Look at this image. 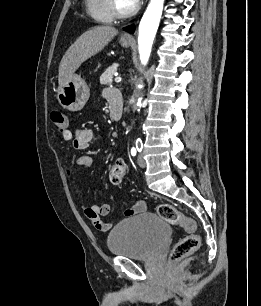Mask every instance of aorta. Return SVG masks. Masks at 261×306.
Returning a JSON list of instances; mask_svg holds the SVG:
<instances>
[{
  "label": "aorta",
  "instance_id": "762f6f07",
  "mask_svg": "<svg viewBox=\"0 0 261 306\" xmlns=\"http://www.w3.org/2000/svg\"><path fill=\"white\" fill-rule=\"evenodd\" d=\"M164 0H150L140 21L138 31V49L140 61L146 65L152 50V44L160 23ZM134 103V99L131 100Z\"/></svg>",
  "mask_w": 261,
  "mask_h": 306
}]
</instances>
